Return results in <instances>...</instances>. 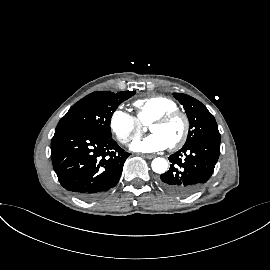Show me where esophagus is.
Wrapping results in <instances>:
<instances>
[{
    "instance_id": "obj_1",
    "label": "esophagus",
    "mask_w": 270,
    "mask_h": 270,
    "mask_svg": "<svg viewBox=\"0 0 270 270\" xmlns=\"http://www.w3.org/2000/svg\"><path fill=\"white\" fill-rule=\"evenodd\" d=\"M142 156H143L144 158H147V159H152V158L155 157V155H153V154H142Z\"/></svg>"
}]
</instances>
